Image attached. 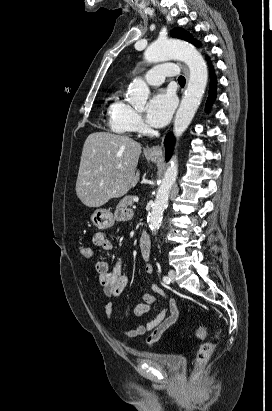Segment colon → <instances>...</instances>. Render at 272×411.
<instances>
[{"label":"colon","mask_w":272,"mask_h":411,"mask_svg":"<svg viewBox=\"0 0 272 411\" xmlns=\"http://www.w3.org/2000/svg\"><path fill=\"white\" fill-rule=\"evenodd\" d=\"M82 256L90 258L93 254L92 248L89 245H83L80 248ZM207 329L205 326L198 327L196 334L199 338H204L206 336ZM221 337V332H217L213 341L204 342L197 353L194 369L191 375V384L193 386H198L200 383V374L202 370L208 364L211 355L215 349L216 341Z\"/></svg>","instance_id":"colon-1"}]
</instances>
